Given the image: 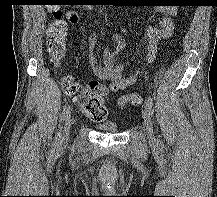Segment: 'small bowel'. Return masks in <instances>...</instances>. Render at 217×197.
<instances>
[{
	"label": "small bowel",
	"mask_w": 217,
	"mask_h": 197,
	"mask_svg": "<svg viewBox=\"0 0 217 197\" xmlns=\"http://www.w3.org/2000/svg\"><path fill=\"white\" fill-rule=\"evenodd\" d=\"M157 10L162 12V18L157 27L148 26L144 29V37L141 43L148 48L147 62L151 64L158 53V43L162 39L171 35L174 28V17L176 8L173 5H164L158 7ZM66 19L69 23L75 24L79 21V15L76 11H68ZM116 49L114 51L105 50L103 54V64L100 65L94 55V49L98 43V35L93 32L88 37L89 56L88 61L92 71L101 79L110 80L109 90L117 92L125 90L132 86L137 79L138 70L134 71L128 77H124V66L120 63L119 53L125 49V41L120 34L113 36Z\"/></svg>",
	"instance_id": "obj_1"
}]
</instances>
